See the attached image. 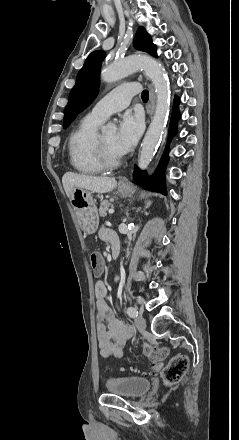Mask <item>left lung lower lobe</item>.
<instances>
[{
    "mask_svg": "<svg viewBox=\"0 0 239 440\" xmlns=\"http://www.w3.org/2000/svg\"><path fill=\"white\" fill-rule=\"evenodd\" d=\"M178 104H179V100H178V98H175L174 104H173V112H172L170 127H169L168 141H170V139L177 132L176 131V123H177L178 119L180 118V114L178 111ZM167 161H168V155H167V149H166L165 153L163 154V156L160 160L158 168L156 169L154 175L150 179L146 177L145 173L141 172L137 167H135L134 180L144 186H147V187H150L153 189H157L158 191L166 194L163 172H164V167H165Z\"/></svg>",
    "mask_w": 239,
    "mask_h": 440,
    "instance_id": "obj_1",
    "label": "left lung lower lobe"
}]
</instances>
